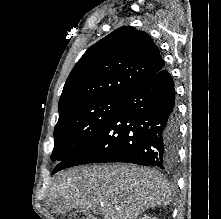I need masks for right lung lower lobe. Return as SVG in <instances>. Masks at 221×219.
I'll return each instance as SVG.
<instances>
[{
  "mask_svg": "<svg viewBox=\"0 0 221 219\" xmlns=\"http://www.w3.org/2000/svg\"><path fill=\"white\" fill-rule=\"evenodd\" d=\"M179 126L174 82L162 69L121 99L102 129L59 170L87 163L127 162L160 169L174 168Z\"/></svg>",
  "mask_w": 221,
  "mask_h": 219,
  "instance_id": "98d812e1",
  "label": "right lung lower lobe"
}]
</instances>
